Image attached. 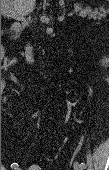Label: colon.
I'll use <instances>...</instances> for the list:
<instances>
[{
  "mask_svg": "<svg viewBox=\"0 0 109 170\" xmlns=\"http://www.w3.org/2000/svg\"><path fill=\"white\" fill-rule=\"evenodd\" d=\"M28 170H43L42 167L38 164L31 165Z\"/></svg>",
  "mask_w": 109,
  "mask_h": 170,
  "instance_id": "5ec220e1",
  "label": "colon"
}]
</instances>
